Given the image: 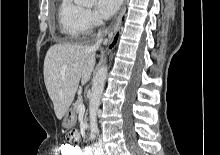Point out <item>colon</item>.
<instances>
[{
	"label": "colon",
	"mask_w": 220,
	"mask_h": 155,
	"mask_svg": "<svg viewBox=\"0 0 220 155\" xmlns=\"http://www.w3.org/2000/svg\"><path fill=\"white\" fill-rule=\"evenodd\" d=\"M60 149V155H81V147L78 146H61Z\"/></svg>",
	"instance_id": "5ec220e1"
}]
</instances>
